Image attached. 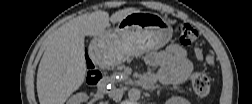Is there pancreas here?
<instances>
[{
	"label": "pancreas",
	"instance_id": "pancreas-1",
	"mask_svg": "<svg viewBox=\"0 0 252 104\" xmlns=\"http://www.w3.org/2000/svg\"><path fill=\"white\" fill-rule=\"evenodd\" d=\"M123 75H124L123 81H124V82H128L129 76H128L127 74H125V73H123Z\"/></svg>",
	"mask_w": 252,
	"mask_h": 104
}]
</instances>
